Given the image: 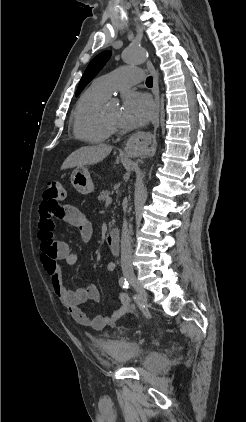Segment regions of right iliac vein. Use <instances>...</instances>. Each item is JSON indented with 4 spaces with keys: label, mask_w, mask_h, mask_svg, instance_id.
<instances>
[{
    "label": "right iliac vein",
    "mask_w": 246,
    "mask_h": 422,
    "mask_svg": "<svg viewBox=\"0 0 246 422\" xmlns=\"http://www.w3.org/2000/svg\"><path fill=\"white\" fill-rule=\"evenodd\" d=\"M125 277L127 278L129 283L131 284V286L137 292L138 302L142 305L147 306L148 305L147 294H146L145 290L143 289V287L141 286V284L136 279L134 273L126 272Z\"/></svg>",
    "instance_id": "obj_1"
}]
</instances>
